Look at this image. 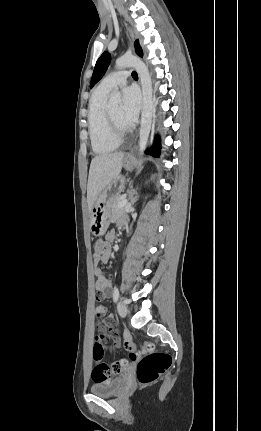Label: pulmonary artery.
<instances>
[{
    "label": "pulmonary artery",
    "mask_w": 261,
    "mask_h": 431,
    "mask_svg": "<svg viewBox=\"0 0 261 431\" xmlns=\"http://www.w3.org/2000/svg\"><path fill=\"white\" fill-rule=\"evenodd\" d=\"M128 76L129 73L127 71L112 72L100 82L98 88L109 92L113 88L123 86L126 83Z\"/></svg>",
    "instance_id": "obj_1"
}]
</instances>
